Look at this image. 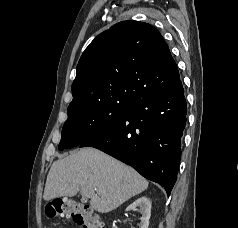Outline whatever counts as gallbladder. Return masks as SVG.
<instances>
[{
	"instance_id": "1",
	"label": "gallbladder",
	"mask_w": 238,
	"mask_h": 228,
	"mask_svg": "<svg viewBox=\"0 0 238 228\" xmlns=\"http://www.w3.org/2000/svg\"><path fill=\"white\" fill-rule=\"evenodd\" d=\"M82 201H83V202H86V201H87V198H82Z\"/></svg>"
}]
</instances>
